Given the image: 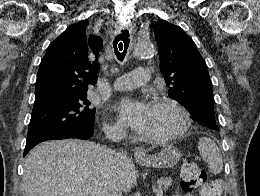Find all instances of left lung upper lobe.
Here are the masks:
<instances>
[{"label":"left lung upper lobe","mask_w":260,"mask_h":196,"mask_svg":"<svg viewBox=\"0 0 260 196\" xmlns=\"http://www.w3.org/2000/svg\"><path fill=\"white\" fill-rule=\"evenodd\" d=\"M152 28L169 97L190 113L196 107H213L208 69L193 40L180 27L165 20H159ZM206 127L219 131L216 122Z\"/></svg>","instance_id":"left-lung-upper-lobe-1"}]
</instances>
